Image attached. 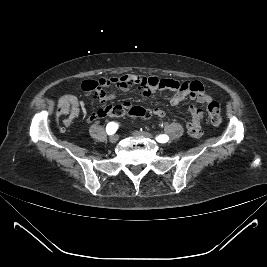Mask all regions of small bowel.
Wrapping results in <instances>:
<instances>
[{"instance_id":"obj_1","label":"small bowel","mask_w":267,"mask_h":267,"mask_svg":"<svg viewBox=\"0 0 267 267\" xmlns=\"http://www.w3.org/2000/svg\"><path fill=\"white\" fill-rule=\"evenodd\" d=\"M110 86L124 91L138 87L143 97L151 96L157 92L173 91L174 95L170 100L172 106H178L187 97L198 103H209L212 100L211 96L205 91L203 84L199 81L179 82L173 79L134 74H125L119 77L102 78L99 80H86L82 84V89L91 93L94 101L104 104L115 98V93L107 94L104 90ZM80 107V102L75 95H64L58 101L56 115L65 116L63 123L65 126H69L78 117ZM115 107L128 109L130 103L125 101L119 105L101 108L88 115L86 119L92 122L103 118L111 114ZM152 113L159 118L165 117V112L160 108H155ZM189 114L190 120L186 123V129L191 136L200 137L202 135L203 111L192 104L189 108Z\"/></svg>"}]
</instances>
